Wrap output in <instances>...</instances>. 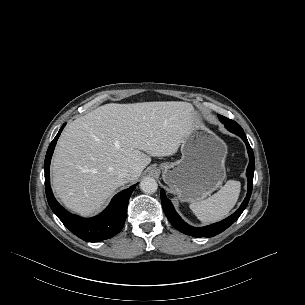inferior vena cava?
<instances>
[{
  "label": "inferior vena cava",
  "mask_w": 305,
  "mask_h": 305,
  "mask_svg": "<svg viewBox=\"0 0 305 305\" xmlns=\"http://www.w3.org/2000/svg\"><path fill=\"white\" fill-rule=\"evenodd\" d=\"M131 174H132V172H131V170L130 169H126V168H124V169H121L120 171H119V178H120V180L122 181V182H128L129 181V179H130V177H131Z\"/></svg>",
  "instance_id": "602c4592"
}]
</instances>
